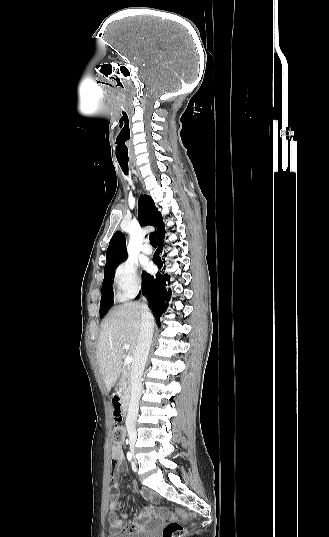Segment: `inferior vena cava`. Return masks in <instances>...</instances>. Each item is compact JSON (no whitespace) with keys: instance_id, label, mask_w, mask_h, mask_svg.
<instances>
[{"instance_id":"602c4592","label":"inferior vena cava","mask_w":329,"mask_h":537,"mask_svg":"<svg viewBox=\"0 0 329 537\" xmlns=\"http://www.w3.org/2000/svg\"><path fill=\"white\" fill-rule=\"evenodd\" d=\"M145 299V298H143ZM141 324L137 339V346L131 366V398L126 417V428L128 432L136 434V421L139 411V400L143 391L142 375L148 359L149 350L153 336V317L146 304L141 306Z\"/></svg>"}]
</instances>
